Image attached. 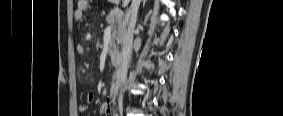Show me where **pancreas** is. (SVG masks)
<instances>
[{"label": "pancreas", "mask_w": 283, "mask_h": 116, "mask_svg": "<svg viewBox=\"0 0 283 116\" xmlns=\"http://www.w3.org/2000/svg\"><path fill=\"white\" fill-rule=\"evenodd\" d=\"M106 21L112 27L111 42L109 45V51L112 52L116 48V44L118 45L122 43V40L126 33L128 17L127 15H124L120 9L114 8L106 16Z\"/></svg>", "instance_id": "pancreas-1"}]
</instances>
